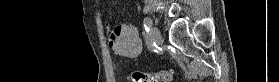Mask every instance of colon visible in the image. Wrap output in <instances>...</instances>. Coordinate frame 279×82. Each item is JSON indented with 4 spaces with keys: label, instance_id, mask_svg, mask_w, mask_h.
I'll list each match as a JSON object with an SVG mask.
<instances>
[{
    "label": "colon",
    "instance_id": "1",
    "mask_svg": "<svg viewBox=\"0 0 279 82\" xmlns=\"http://www.w3.org/2000/svg\"><path fill=\"white\" fill-rule=\"evenodd\" d=\"M173 70L165 69L161 72L134 71L129 76V82H169L172 78Z\"/></svg>",
    "mask_w": 279,
    "mask_h": 82
}]
</instances>
